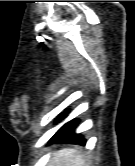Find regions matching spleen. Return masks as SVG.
<instances>
[{
    "instance_id": "1",
    "label": "spleen",
    "mask_w": 135,
    "mask_h": 166,
    "mask_svg": "<svg viewBox=\"0 0 135 166\" xmlns=\"http://www.w3.org/2000/svg\"><path fill=\"white\" fill-rule=\"evenodd\" d=\"M84 155L75 149L65 148L56 152L47 166H84Z\"/></svg>"
}]
</instances>
